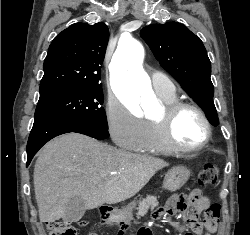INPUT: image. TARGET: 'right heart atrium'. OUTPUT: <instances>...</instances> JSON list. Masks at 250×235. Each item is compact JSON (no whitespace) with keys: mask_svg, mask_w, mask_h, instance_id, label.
<instances>
[{"mask_svg":"<svg viewBox=\"0 0 250 235\" xmlns=\"http://www.w3.org/2000/svg\"><path fill=\"white\" fill-rule=\"evenodd\" d=\"M105 116L113 141L123 149L138 151L146 138V122L115 98L108 100Z\"/></svg>","mask_w":250,"mask_h":235,"instance_id":"d8ad5b80","label":"right heart atrium"}]
</instances>
